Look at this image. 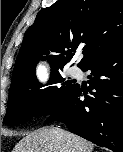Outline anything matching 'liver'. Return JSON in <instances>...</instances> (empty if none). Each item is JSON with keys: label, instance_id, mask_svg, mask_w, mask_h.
Here are the masks:
<instances>
[{"label": "liver", "instance_id": "liver-1", "mask_svg": "<svg viewBox=\"0 0 123 152\" xmlns=\"http://www.w3.org/2000/svg\"><path fill=\"white\" fill-rule=\"evenodd\" d=\"M93 144L56 127L38 129L25 136L13 152H92Z\"/></svg>", "mask_w": 123, "mask_h": 152}]
</instances>
